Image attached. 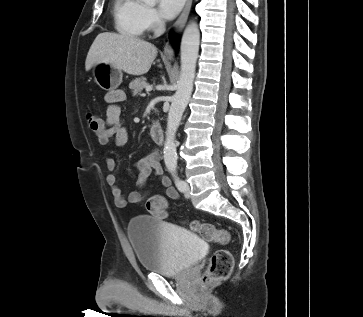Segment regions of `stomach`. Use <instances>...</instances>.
Segmentation results:
<instances>
[{
	"instance_id": "obj_1",
	"label": "stomach",
	"mask_w": 363,
	"mask_h": 317,
	"mask_svg": "<svg viewBox=\"0 0 363 317\" xmlns=\"http://www.w3.org/2000/svg\"><path fill=\"white\" fill-rule=\"evenodd\" d=\"M92 73L95 82L107 91L115 90L122 82V71L108 63L95 64Z\"/></svg>"
}]
</instances>
